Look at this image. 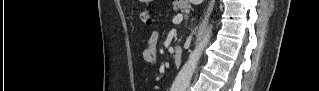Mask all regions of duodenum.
<instances>
[{
  "instance_id": "410a0bca",
  "label": "duodenum",
  "mask_w": 319,
  "mask_h": 91,
  "mask_svg": "<svg viewBox=\"0 0 319 91\" xmlns=\"http://www.w3.org/2000/svg\"><path fill=\"white\" fill-rule=\"evenodd\" d=\"M182 55H183L182 49L180 47H178V46H175L173 48V56H174L176 65H180L181 64Z\"/></svg>"
}]
</instances>
